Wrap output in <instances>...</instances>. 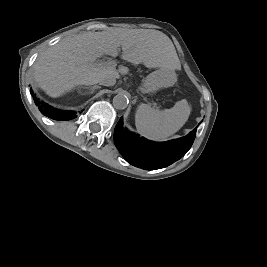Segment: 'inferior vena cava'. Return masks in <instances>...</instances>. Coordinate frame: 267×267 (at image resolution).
Masks as SVG:
<instances>
[{"mask_svg":"<svg viewBox=\"0 0 267 267\" xmlns=\"http://www.w3.org/2000/svg\"><path fill=\"white\" fill-rule=\"evenodd\" d=\"M99 84L104 86H113L116 83V79L110 76L102 77L99 81Z\"/></svg>","mask_w":267,"mask_h":267,"instance_id":"obj_1","label":"inferior vena cava"}]
</instances>
